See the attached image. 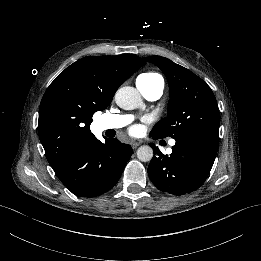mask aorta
Segmentation results:
<instances>
[{
  "mask_svg": "<svg viewBox=\"0 0 261 261\" xmlns=\"http://www.w3.org/2000/svg\"><path fill=\"white\" fill-rule=\"evenodd\" d=\"M140 95L134 87L124 86L115 93V103L122 109H135L140 104ZM137 158L142 162H149L153 158V149L149 145L140 146Z\"/></svg>",
  "mask_w": 261,
  "mask_h": 261,
  "instance_id": "aorta-1",
  "label": "aorta"
}]
</instances>
